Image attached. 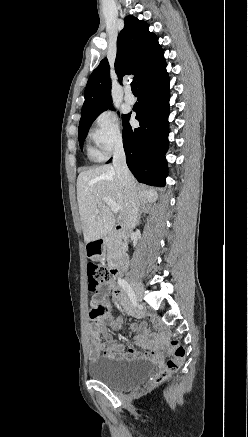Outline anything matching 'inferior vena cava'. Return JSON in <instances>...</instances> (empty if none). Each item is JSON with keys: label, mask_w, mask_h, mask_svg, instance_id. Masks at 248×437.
I'll return each mask as SVG.
<instances>
[{"label": "inferior vena cava", "mask_w": 248, "mask_h": 437, "mask_svg": "<svg viewBox=\"0 0 248 437\" xmlns=\"http://www.w3.org/2000/svg\"><path fill=\"white\" fill-rule=\"evenodd\" d=\"M113 165L117 174V178L122 184L126 194L127 212L124 217V226L126 229L132 230L139 217V201L136 195L134 177L126 164V157L122 141L115 144L113 153Z\"/></svg>", "instance_id": "obj_1"}]
</instances>
